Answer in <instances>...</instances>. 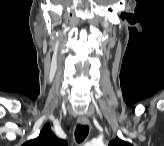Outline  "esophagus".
<instances>
[{
    "mask_svg": "<svg viewBox=\"0 0 164 146\" xmlns=\"http://www.w3.org/2000/svg\"><path fill=\"white\" fill-rule=\"evenodd\" d=\"M78 123L81 125H90V121L87 118H78Z\"/></svg>",
    "mask_w": 164,
    "mask_h": 146,
    "instance_id": "34e87169",
    "label": "esophagus"
}]
</instances>
